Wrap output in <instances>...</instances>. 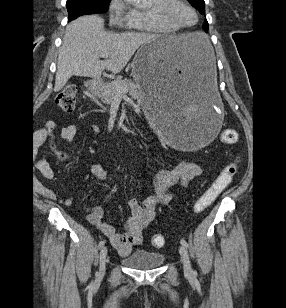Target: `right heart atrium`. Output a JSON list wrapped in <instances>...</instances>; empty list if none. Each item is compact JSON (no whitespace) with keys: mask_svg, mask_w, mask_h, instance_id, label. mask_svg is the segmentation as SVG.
I'll list each match as a JSON object with an SVG mask.
<instances>
[{"mask_svg":"<svg viewBox=\"0 0 286 308\" xmlns=\"http://www.w3.org/2000/svg\"><path fill=\"white\" fill-rule=\"evenodd\" d=\"M108 15L112 24L127 26L130 22L131 9L126 0H109Z\"/></svg>","mask_w":286,"mask_h":308,"instance_id":"obj_1","label":"right heart atrium"}]
</instances>
